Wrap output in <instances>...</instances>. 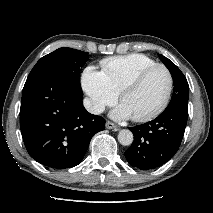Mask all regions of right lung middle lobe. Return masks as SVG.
I'll use <instances>...</instances> for the list:
<instances>
[{
    "label": "right lung middle lobe",
    "instance_id": "right-lung-middle-lobe-1",
    "mask_svg": "<svg viewBox=\"0 0 213 213\" xmlns=\"http://www.w3.org/2000/svg\"><path fill=\"white\" fill-rule=\"evenodd\" d=\"M87 60V52L62 47L42 57L33 67L28 78L42 74L54 75L82 92L79 74L80 68Z\"/></svg>",
    "mask_w": 213,
    "mask_h": 213
}]
</instances>
